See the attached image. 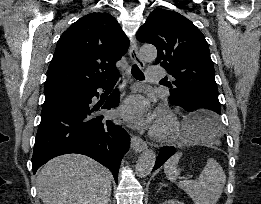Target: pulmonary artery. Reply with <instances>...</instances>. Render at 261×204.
Segmentation results:
<instances>
[{
  "label": "pulmonary artery",
  "instance_id": "pulmonary-artery-1",
  "mask_svg": "<svg viewBox=\"0 0 261 204\" xmlns=\"http://www.w3.org/2000/svg\"><path fill=\"white\" fill-rule=\"evenodd\" d=\"M164 76V71L158 66H152L147 69L146 77L150 82L159 81Z\"/></svg>",
  "mask_w": 261,
  "mask_h": 204
}]
</instances>
